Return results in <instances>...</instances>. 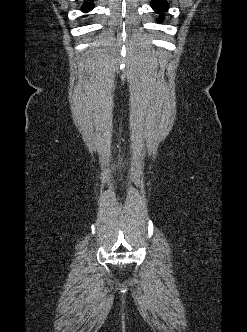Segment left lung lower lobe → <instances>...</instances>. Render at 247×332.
<instances>
[{"label": "left lung lower lobe", "mask_w": 247, "mask_h": 332, "mask_svg": "<svg viewBox=\"0 0 247 332\" xmlns=\"http://www.w3.org/2000/svg\"><path fill=\"white\" fill-rule=\"evenodd\" d=\"M151 7L156 13L160 14L166 11L169 8V5L166 2V0H152ZM163 19H164V14L160 15L158 22L159 23L163 22Z\"/></svg>", "instance_id": "obj_1"}]
</instances>
